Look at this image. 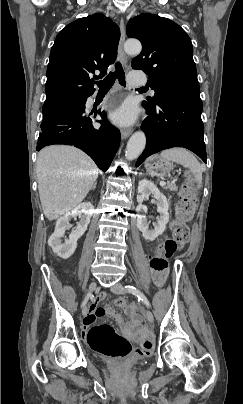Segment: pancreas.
Segmentation results:
<instances>
[{
	"instance_id": "pancreas-1",
	"label": "pancreas",
	"mask_w": 243,
	"mask_h": 404,
	"mask_svg": "<svg viewBox=\"0 0 243 404\" xmlns=\"http://www.w3.org/2000/svg\"><path fill=\"white\" fill-rule=\"evenodd\" d=\"M164 190H169V192H178V186H176V184H168V186H165Z\"/></svg>"
}]
</instances>
